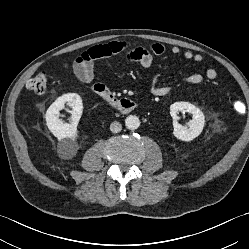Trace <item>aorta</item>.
I'll use <instances>...</instances> for the list:
<instances>
[{
  "label": "aorta",
  "mask_w": 249,
  "mask_h": 249,
  "mask_svg": "<svg viewBox=\"0 0 249 249\" xmlns=\"http://www.w3.org/2000/svg\"><path fill=\"white\" fill-rule=\"evenodd\" d=\"M125 126L130 130H135L140 126V120L135 115H130L125 119Z\"/></svg>",
  "instance_id": "762f6f07"
}]
</instances>
